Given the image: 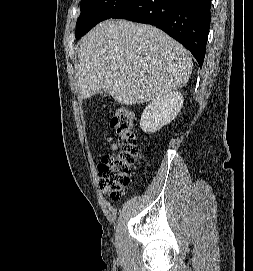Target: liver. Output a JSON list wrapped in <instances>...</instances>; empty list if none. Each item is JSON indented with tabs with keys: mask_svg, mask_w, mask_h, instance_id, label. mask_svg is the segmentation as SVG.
<instances>
[{
	"mask_svg": "<svg viewBox=\"0 0 253 271\" xmlns=\"http://www.w3.org/2000/svg\"><path fill=\"white\" fill-rule=\"evenodd\" d=\"M78 58L80 98L103 90L124 105L184 87L193 66L190 53L166 33L126 20L98 24L82 38Z\"/></svg>",
	"mask_w": 253,
	"mask_h": 271,
	"instance_id": "1",
	"label": "liver"
}]
</instances>
